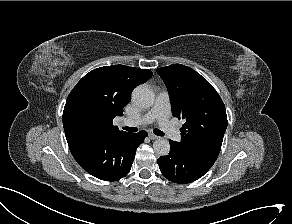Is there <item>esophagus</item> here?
Returning a JSON list of instances; mask_svg holds the SVG:
<instances>
[{
	"label": "esophagus",
	"mask_w": 292,
	"mask_h": 224,
	"mask_svg": "<svg viewBox=\"0 0 292 224\" xmlns=\"http://www.w3.org/2000/svg\"><path fill=\"white\" fill-rule=\"evenodd\" d=\"M149 138L152 139V140H156V139H159V136L150 133L149 134Z\"/></svg>",
	"instance_id": "esophagus-1"
}]
</instances>
